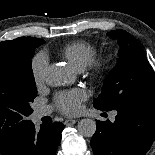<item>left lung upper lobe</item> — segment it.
<instances>
[{
    "label": "left lung upper lobe",
    "mask_w": 155,
    "mask_h": 155,
    "mask_svg": "<svg viewBox=\"0 0 155 155\" xmlns=\"http://www.w3.org/2000/svg\"><path fill=\"white\" fill-rule=\"evenodd\" d=\"M107 35L118 40L119 59L105 80L102 93L94 100V107L116 110L133 101L155 97V74L138 40L124 30Z\"/></svg>",
    "instance_id": "obj_1"
}]
</instances>
